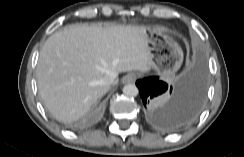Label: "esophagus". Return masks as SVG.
Returning <instances> with one entry per match:
<instances>
[{"label": "esophagus", "instance_id": "esophagus-1", "mask_svg": "<svg viewBox=\"0 0 244 157\" xmlns=\"http://www.w3.org/2000/svg\"><path fill=\"white\" fill-rule=\"evenodd\" d=\"M136 78H137L136 74L129 73L122 78V83L123 84L133 83L136 80Z\"/></svg>", "mask_w": 244, "mask_h": 157}]
</instances>
